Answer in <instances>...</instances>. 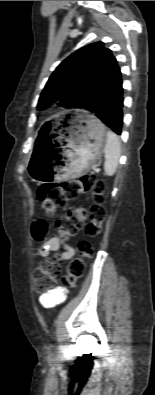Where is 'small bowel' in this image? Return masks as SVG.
<instances>
[{
    "mask_svg": "<svg viewBox=\"0 0 155 395\" xmlns=\"http://www.w3.org/2000/svg\"><path fill=\"white\" fill-rule=\"evenodd\" d=\"M59 249H63V252L59 257L60 261L69 260L74 256V249L58 237H52L47 240L39 249V255L45 257L50 252L58 251ZM66 295L67 290L65 288L56 287L46 293L41 294L39 297V303L45 308H52L64 302Z\"/></svg>",
    "mask_w": 155,
    "mask_h": 395,
    "instance_id": "obj_1",
    "label": "small bowel"
}]
</instances>
